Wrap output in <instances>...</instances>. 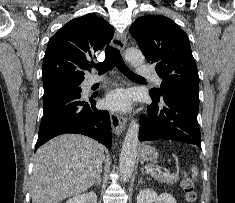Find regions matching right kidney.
I'll list each match as a JSON object with an SVG mask.
<instances>
[{
  "label": "right kidney",
  "mask_w": 235,
  "mask_h": 203,
  "mask_svg": "<svg viewBox=\"0 0 235 203\" xmlns=\"http://www.w3.org/2000/svg\"><path fill=\"white\" fill-rule=\"evenodd\" d=\"M66 203H97V196L94 192H87L70 198Z\"/></svg>",
  "instance_id": "ca27d5eb"
}]
</instances>
